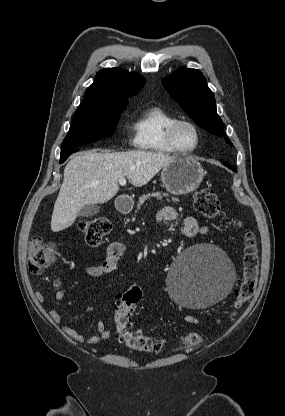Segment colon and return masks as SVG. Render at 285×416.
Here are the masks:
<instances>
[{"instance_id":"5ec220e1","label":"colon","mask_w":285,"mask_h":416,"mask_svg":"<svg viewBox=\"0 0 285 416\" xmlns=\"http://www.w3.org/2000/svg\"><path fill=\"white\" fill-rule=\"evenodd\" d=\"M196 211L207 219H215L221 215V204L211 188L197 191L193 198ZM111 229V223L103 217L87 218L79 223L85 242L89 246H98ZM29 271L41 275L57 259L58 248L55 242L45 240L41 236H32L29 240ZM243 277L236 290L234 308L239 309L254 295L259 278V252L257 242L252 233H246L243 250ZM142 299V290L137 285H131L119 297L114 308L116 338L126 347L138 352H157L163 342L145 335L132 328V312ZM204 335L199 332H189L183 339L186 347L200 345Z\"/></svg>"}]
</instances>
